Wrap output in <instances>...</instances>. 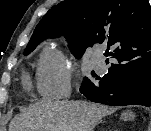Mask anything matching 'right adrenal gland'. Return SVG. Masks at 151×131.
Returning <instances> with one entry per match:
<instances>
[{"label": "right adrenal gland", "mask_w": 151, "mask_h": 131, "mask_svg": "<svg viewBox=\"0 0 151 131\" xmlns=\"http://www.w3.org/2000/svg\"><path fill=\"white\" fill-rule=\"evenodd\" d=\"M102 121L98 122V123H101ZM98 123H96L95 125H97Z\"/></svg>", "instance_id": "right-adrenal-gland-1"}]
</instances>
